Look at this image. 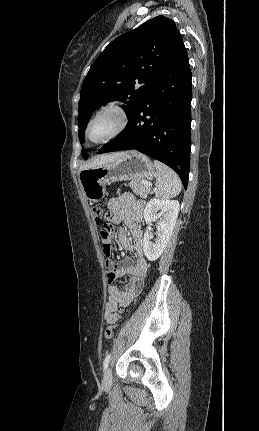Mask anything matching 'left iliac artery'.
<instances>
[{
  "label": "left iliac artery",
  "mask_w": 259,
  "mask_h": 431,
  "mask_svg": "<svg viewBox=\"0 0 259 431\" xmlns=\"http://www.w3.org/2000/svg\"><path fill=\"white\" fill-rule=\"evenodd\" d=\"M110 357L111 354H107V356L105 357L104 361H103V370H106V368L108 367V364L110 362Z\"/></svg>",
  "instance_id": "obj_1"
}]
</instances>
